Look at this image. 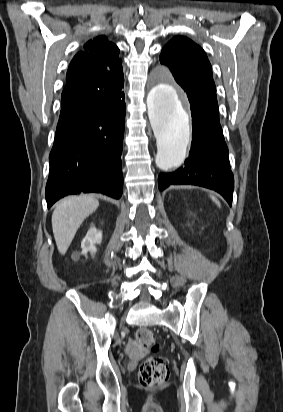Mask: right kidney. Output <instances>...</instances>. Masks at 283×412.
<instances>
[{
    "label": "right kidney",
    "instance_id": "obj_1",
    "mask_svg": "<svg viewBox=\"0 0 283 412\" xmlns=\"http://www.w3.org/2000/svg\"><path fill=\"white\" fill-rule=\"evenodd\" d=\"M101 240L102 232L95 227L90 228L81 242L82 254L86 256L88 252H91L94 255L97 251L95 244L101 243Z\"/></svg>",
    "mask_w": 283,
    "mask_h": 412
}]
</instances>
